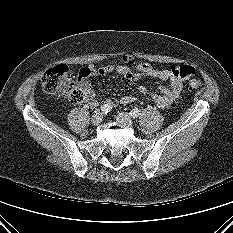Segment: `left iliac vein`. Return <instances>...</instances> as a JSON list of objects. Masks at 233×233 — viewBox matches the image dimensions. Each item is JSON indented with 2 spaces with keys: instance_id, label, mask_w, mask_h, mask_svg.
Wrapping results in <instances>:
<instances>
[{
  "instance_id": "4c4485c4",
  "label": "left iliac vein",
  "mask_w": 233,
  "mask_h": 233,
  "mask_svg": "<svg viewBox=\"0 0 233 233\" xmlns=\"http://www.w3.org/2000/svg\"><path fill=\"white\" fill-rule=\"evenodd\" d=\"M116 120L121 124L132 128L133 127V120L128 113L121 112L116 116Z\"/></svg>"
}]
</instances>
